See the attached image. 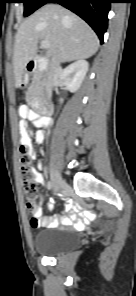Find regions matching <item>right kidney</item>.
Listing matches in <instances>:
<instances>
[{"instance_id":"obj_1","label":"right kidney","mask_w":136,"mask_h":296,"mask_svg":"<svg viewBox=\"0 0 136 296\" xmlns=\"http://www.w3.org/2000/svg\"><path fill=\"white\" fill-rule=\"evenodd\" d=\"M89 64L85 60H78L68 67H66L60 75L61 80L63 81V84L66 86V88L74 93L76 92L83 80L85 79V76L88 72ZM60 102H63V99H60Z\"/></svg>"}]
</instances>
